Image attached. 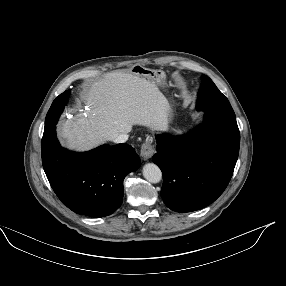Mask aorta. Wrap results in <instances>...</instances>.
I'll list each match as a JSON object with an SVG mask.
<instances>
[{"label": "aorta", "instance_id": "1", "mask_svg": "<svg viewBox=\"0 0 286 286\" xmlns=\"http://www.w3.org/2000/svg\"><path fill=\"white\" fill-rule=\"evenodd\" d=\"M143 176L151 183H158L162 179V172L156 164L148 163L143 167Z\"/></svg>", "mask_w": 286, "mask_h": 286}]
</instances>
